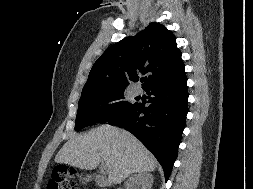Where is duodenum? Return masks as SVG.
<instances>
[{"mask_svg":"<svg viewBox=\"0 0 253 189\" xmlns=\"http://www.w3.org/2000/svg\"><path fill=\"white\" fill-rule=\"evenodd\" d=\"M94 180L100 186H107L108 185L106 179L100 175H95Z\"/></svg>","mask_w":253,"mask_h":189,"instance_id":"410a0bca","label":"duodenum"}]
</instances>
